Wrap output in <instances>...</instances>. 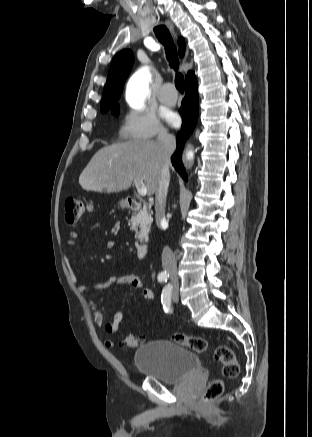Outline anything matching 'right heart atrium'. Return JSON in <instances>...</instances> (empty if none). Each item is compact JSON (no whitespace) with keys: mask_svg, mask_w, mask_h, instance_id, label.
Returning <instances> with one entry per match:
<instances>
[{"mask_svg":"<svg viewBox=\"0 0 312 437\" xmlns=\"http://www.w3.org/2000/svg\"><path fill=\"white\" fill-rule=\"evenodd\" d=\"M118 133L124 140H149L168 136L155 113L148 110H133L125 113Z\"/></svg>","mask_w":312,"mask_h":437,"instance_id":"right-heart-atrium-1","label":"right heart atrium"}]
</instances>
